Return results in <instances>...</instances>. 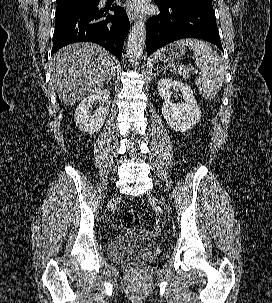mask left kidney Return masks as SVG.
<instances>
[{"label": "left kidney", "instance_id": "obj_1", "mask_svg": "<svg viewBox=\"0 0 272 303\" xmlns=\"http://www.w3.org/2000/svg\"><path fill=\"white\" fill-rule=\"evenodd\" d=\"M171 89L182 93L183 103H172ZM158 91L164 100L162 115L172 129L185 132L200 121L201 111L189 85L171 78H163L158 82Z\"/></svg>", "mask_w": 272, "mask_h": 303}]
</instances>
